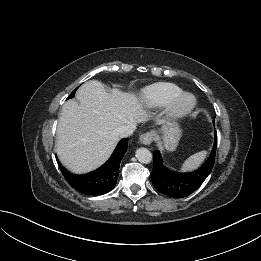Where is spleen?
Instances as JSON below:
<instances>
[{"label":"spleen","mask_w":261,"mask_h":261,"mask_svg":"<svg viewBox=\"0 0 261 261\" xmlns=\"http://www.w3.org/2000/svg\"><path fill=\"white\" fill-rule=\"evenodd\" d=\"M206 151H200L191 155L182 165V171H191L200 166L206 157Z\"/></svg>","instance_id":"spleen-1"}]
</instances>
